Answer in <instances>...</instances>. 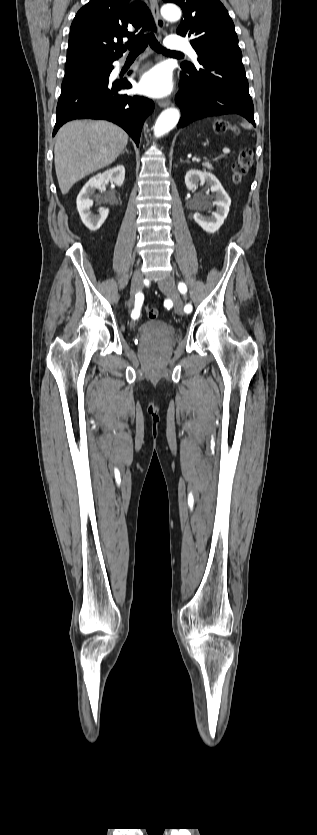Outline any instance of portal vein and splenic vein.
<instances>
[{
    "mask_svg": "<svg viewBox=\"0 0 317 835\" xmlns=\"http://www.w3.org/2000/svg\"><path fill=\"white\" fill-rule=\"evenodd\" d=\"M193 160H197V161H198V160H199V158H193Z\"/></svg>",
    "mask_w": 317,
    "mask_h": 835,
    "instance_id": "portal-vein-and-splenic-vein-1",
    "label": "portal vein and splenic vein"
}]
</instances>
